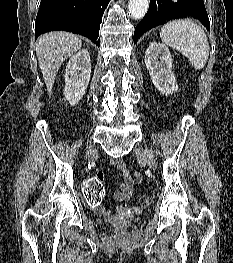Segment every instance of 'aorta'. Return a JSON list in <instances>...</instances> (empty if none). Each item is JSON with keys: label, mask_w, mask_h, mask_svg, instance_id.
<instances>
[{"label": "aorta", "mask_w": 233, "mask_h": 263, "mask_svg": "<svg viewBox=\"0 0 233 263\" xmlns=\"http://www.w3.org/2000/svg\"><path fill=\"white\" fill-rule=\"evenodd\" d=\"M149 0H129V15L133 19H142L148 11Z\"/></svg>", "instance_id": "obj_1"}]
</instances>
